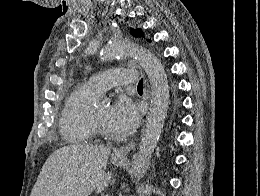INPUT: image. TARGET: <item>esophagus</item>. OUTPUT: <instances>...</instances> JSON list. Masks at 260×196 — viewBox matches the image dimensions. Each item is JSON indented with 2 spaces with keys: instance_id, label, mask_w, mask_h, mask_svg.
I'll return each mask as SVG.
<instances>
[{
  "instance_id": "34e87169",
  "label": "esophagus",
  "mask_w": 260,
  "mask_h": 196,
  "mask_svg": "<svg viewBox=\"0 0 260 196\" xmlns=\"http://www.w3.org/2000/svg\"><path fill=\"white\" fill-rule=\"evenodd\" d=\"M147 89L149 91V84L146 83ZM150 93V91H149ZM136 146V143L134 141H131L127 145L121 146L120 148L116 149L113 153V159H126L128 156V153L132 151Z\"/></svg>"
}]
</instances>
